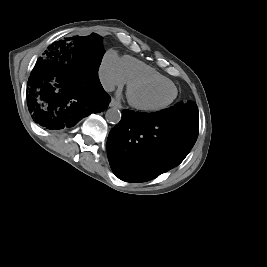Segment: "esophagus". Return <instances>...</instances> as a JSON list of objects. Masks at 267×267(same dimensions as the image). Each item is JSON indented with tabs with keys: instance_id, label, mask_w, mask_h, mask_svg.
Masks as SVG:
<instances>
[{
	"instance_id": "1",
	"label": "esophagus",
	"mask_w": 267,
	"mask_h": 267,
	"mask_svg": "<svg viewBox=\"0 0 267 267\" xmlns=\"http://www.w3.org/2000/svg\"><path fill=\"white\" fill-rule=\"evenodd\" d=\"M110 107H114V108H122V105L116 100V99H112L110 104H109Z\"/></svg>"
}]
</instances>
